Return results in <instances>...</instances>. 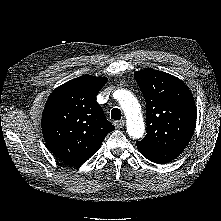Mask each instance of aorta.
I'll return each instance as SVG.
<instances>
[{
	"mask_svg": "<svg viewBox=\"0 0 221 221\" xmlns=\"http://www.w3.org/2000/svg\"><path fill=\"white\" fill-rule=\"evenodd\" d=\"M118 100L127 119L128 135L135 139L142 137L145 125L138 100L126 90H120Z\"/></svg>",
	"mask_w": 221,
	"mask_h": 221,
	"instance_id": "762f6f07",
	"label": "aorta"
}]
</instances>
